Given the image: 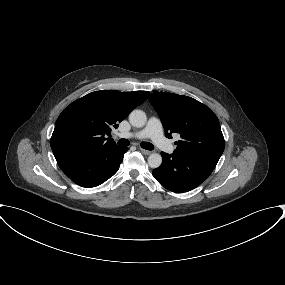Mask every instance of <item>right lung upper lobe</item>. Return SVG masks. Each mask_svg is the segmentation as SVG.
<instances>
[{"mask_svg":"<svg viewBox=\"0 0 285 285\" xmlns=\"http://www.w3.org/2000/svg\"><path fill=\"white\" fill-rule=\"evenodd\" d=\"M148 91H95L71 103L59 115L50 140L53 152L64 149L97 151L119 147L105 138L129 113L142 104Z\"/></svg>","mask_w":285,"mask_h":285,"instance_id":"obj_1","label":"right lung upper lobe"}]
</instances>
